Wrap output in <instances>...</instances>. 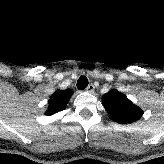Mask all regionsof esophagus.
<instances>
[{"instance_id": "1", "label": "esophagus", "mask_w": 164, "mask_h": 164, "mask_svg": "<svg viewBox=\"0 0 164 164\" xmlns=\"http://www.w3.org/2000/svg\"><path fill=\"white\" fill-rule=\"evenodd\" d=\"M95 87L93 84H89L88 87L86 88V90L90 93H92L94 91Z\"/></svg>"}]
</instances>
